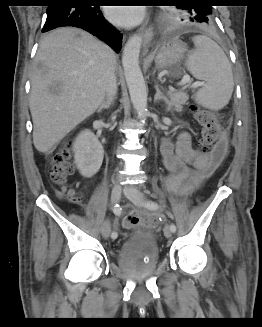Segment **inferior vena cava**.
<instances>
[{
  "label": "inferior vena cava",
  "instance_id": "inferior-vena-cava-1",
  "mask_svg": "<svg viewBox=\"0 0 262 327\" xmlns=\"http://www.w3.org/2000/svg\"><path fill=\"white\" fill-rule=\"evenodd\" d=\"M116 94H117L116 76L114 71H112L108 78V83L106 88L107 100L112 101L115 98Z\"/></svg>",
  "mask_w": 262,
  "mask_h": 327
}]
</instances>
